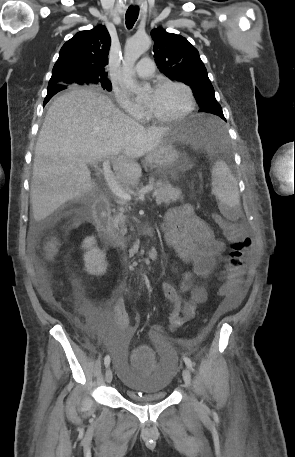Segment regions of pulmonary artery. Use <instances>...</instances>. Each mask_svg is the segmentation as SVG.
I'll list each match as a JSON object with an SVG mask.
<instances>
[{
	"mask_svg": "<svg viewBox=\"0 0 295 457\" xmlns=\"http://www.w3.org/2000/svg\"><path fill=\"white\" fill-rule=\"evenodd\" d=\"M154 70V62L148 57L142 58L134 69L136 75L143 78L151 77Z\"/></svg>",
	"mask_w": 295,
	"mask_h": 457,
	"instance_id": "pulmonary-artery-1",
	"label": "pulmonary artery"
}]
</instances>
